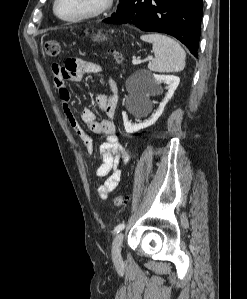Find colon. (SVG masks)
Masks as SVG:
<instances>
[{
  "mask_svg": "<svg viewBox=\"0 0 247 299\" xmlns=\"http://www.w3.org/2000/svg\"><path fill=\"white\" fill-rule=\"evenodd\" d=\"M44 52L48 57H57L60 53V46L56 40H47L44 43ZM113 56L117 62H121V55L117 52H113ZM129 199L126 196L118 194L113 199V204L116 207L124 206L128 203Z\"/></svg>",
  "mask_w": 247,
  "mask_h": 299,
  "instance_id": "5ec220e1",
  "label": "colon"
}]
</instances>
